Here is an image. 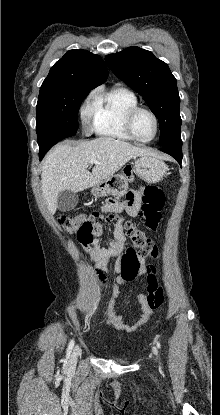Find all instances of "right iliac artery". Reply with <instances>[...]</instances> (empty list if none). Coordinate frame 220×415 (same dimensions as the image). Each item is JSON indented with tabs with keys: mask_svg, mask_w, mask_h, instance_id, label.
Segmentation results:
<instances>
[{
	"mask_svg": "<svg viewBox=\"0 0 220 415\" xmlns=\"http://www.w3.org/2000/svg\"><path fill=\"white\" fill-rule=\"evenodd\" d=\"M73 346H74V341H73V340H71V341L69 342V345H68V348H67V359L69 358V356H70V354H71V352H72Z\"/></svg>",
	"mask_w": 220,
	"mask_h": 415,
	"instance_id": "right-iliac-artery-1",
	"label": "right iliac artery"
}]
</instances>
